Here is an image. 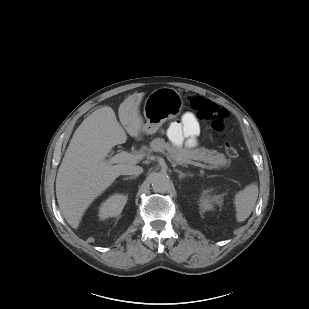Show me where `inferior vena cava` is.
I'll use <instances>...</instances> for the list:
<instances>
[{
    "label": "inferior vena cava",
    "instance_id": "obj_1",
    "mask_svg": "<svg viewBox=\"0 0 309 309\" xmlns=\"http://www.w3.org/2000/svg\"><path fill=\"white\" fill-rule=\"evenodd\" d=\"M143 172V168L140 166L132 165L127 166L121 171V175H140Z\"/></svg>",
    "mask_w": 309,
    "mask_h": 309
}]
</instances>
